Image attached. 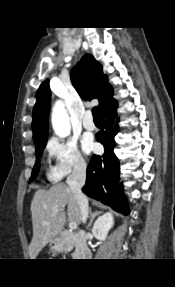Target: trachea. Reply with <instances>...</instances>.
Segmentation results:
<instances>
[{
  "label": "trachea",
  "mask_w": 175,
  "mask_h": 287,
  "mask_svg": "<svg viewBox=\"0 0 175 287\" xmlns=\"http://www.w3.org/2000/svg\"><path fill=\"white\" fill-rule=\"evenodd\" d=\"M92 114H93V118L95 121H99L100 118H99V111H98V108L97 107H94L92 109Z\"/></svg>",
  "instance_id": "obj_1"
}]
</instances>
